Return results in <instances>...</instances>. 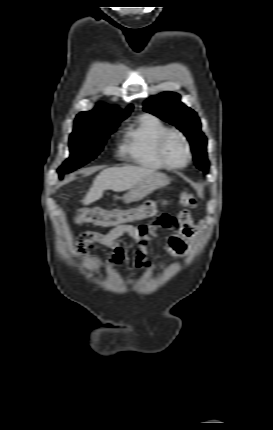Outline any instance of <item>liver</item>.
Here are the masks:
<instances>
[{
  "mask_svg": "<svg viewBox=\"0 0 273 430\" xmlns=\"http://www.w3.org/2000/svg\"><path fill=\"white\" fill-rule=\"evenodd\" d=\"M153 172V169L134 166L105 169L93 181L92 187L83 199V204L89 205L99 200L105 190L115 192L129 190Z\"/></svg>",
  "mask_w": 273,
  "mask_h": 430,
  "instance_id": "6515ba94",
  "label": "liver"
}]
</instances>
